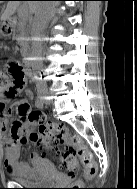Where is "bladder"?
Instances as JSON below:
<instances>
[{"instance_id": "obj_1", "label": "bladder", "mask_w": 137, "mask_h": 189, "mask_svg": "<svg viewBox=\"0 0 137 189\" xmlns=\"http://www.w3.org/2000/svg\"><path fill=\"white\" fill-rule=\"evenodd\" d=\"M10 175L14 181L25 185H49L58 179L56 168L46 158H41L37 164L31 166L25 175H21L18 171Z\"/></svg>"}]
</instances>
